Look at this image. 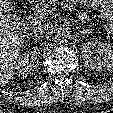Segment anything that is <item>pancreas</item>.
<instances>
[{
    "label": "pancreas",
    "instance_id": "cf45deb5",
    "mask_svg": "<svg viewBox=\"0 0 113 113\" xmlns=\"http://www.w3.org/2000/svg\"><path fill=\"white\" fill-rule=\"evenodd\" d=\"M58 0H49L48 2H46L45 0H41L40 3L38 5H36L32 10V16L33 18H37L39 19L41 22H44L47 20L48 18V14H50L48 12V10L51 9V4L57 3ZM67 8L69 9H74L75 7L70 4V3H66Z\"/></svg>",
    "mask_w": 113,
    "mask_h": 113
}]
</instances>
